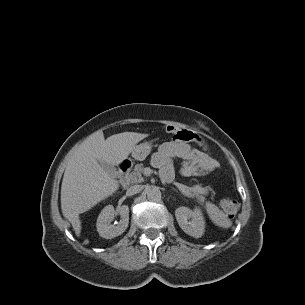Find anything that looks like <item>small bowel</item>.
I'll list each match as a JSON object with an SVG mask.
<instances>
[{
  "label": "small bowel",
  "instance_id": "c3829d8e",
  "mask_svg": "<svg viewBox=\"0 0 305 305\" xmlns=\"http://www.w3.org/2000/svg\"><path fill=\"white\" fill-rule=\"evenodd\" d=\"M184 132V138H175L162 144L152 156L151 162L160 169V177L164 182H170L174 177V158L187 160L207 171L218 167L216 160L206 150L194 148L189 144L195 142L203 146L202 139L191 131Z\"/></svg>",
  "mask_w": 305,
  "mask_h": 305
}]
</instances>
